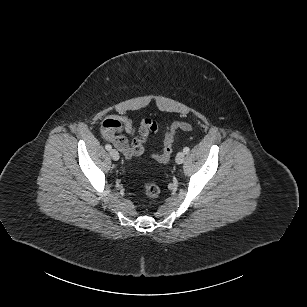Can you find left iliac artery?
Instances as JSON below:
<instances>
[{"label": "left iliac artery", "mask_w": 307, "mask_h": 307, "mask_svg": "<svg viewBox=\"0 0 307 307\" xmlns=\"http://www.w3.org/2000/svg\"><path fill=\"white\" fill-rule=\"evenodd\" d=\"M189 151H190V148H189V147H185V148L183 149V152H184L185 154H188Z\"/></svg>", "instance_id": "44dca946"}]
</instances>
